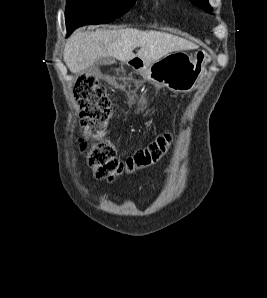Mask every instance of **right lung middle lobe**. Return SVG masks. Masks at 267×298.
Returning <instances> with one entry per match:
<instances>
[{
	"label": "right lung middle lobe",
	"mask_w": 267,
	"mask_h": 298,
	"mask_svg": "<svg viewBox=\"0 0 267 298\" xmlns=\"http://www.w3.org/2000/svg\"><path fill=\"white\" fill-rule=\"evenodd\" d=\"M136 0H67L66 26L71 33L79 26L104 24L126 14Z\"/></svg>",
	"instance_id": "obj_1"
}]
</instances>
